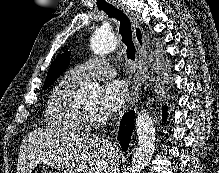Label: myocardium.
Segmentation results:
<instances>
[{
  "label": "myocardium",
  "mask_w": 219,
  "mask_h": 173,
  "mask_svg": "<svg viewBox=\"0 0 219 173\" xmlns=\"http://www.w3.org/2000/svg\"><path fill=\"white\" fill-rule=\"evenodd\" d=\"M81 111H82L85 115H87V116H88L89 114H91L90 111H87V110H85V109H82Z\"/></svg>",
  "instance_id": "obj_1"
}]
</instances>
